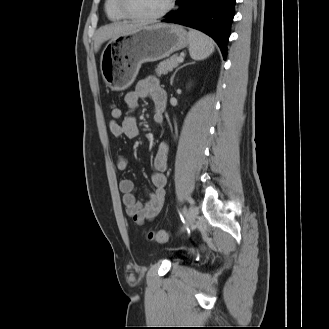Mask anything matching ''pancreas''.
I'll use <instances>...</instances> for the list:
<instances>
[{"instance_id": "cf45deb5", "label": "pancreas", "mask_w": 329, "mask_h": 329, "mask_svg": "<svg viewBox=\"0 0 329 329\" xmlns=\"http://www.w3.org/2000/svg\"><path fill=\"white\" fill-rule=\"evenodd\" d=\"M178 57L172 56L162 62H160L156 68V74L158 76L166 75L168 72L172 71L178 66Z\"/></svg>"}]
</instances>
